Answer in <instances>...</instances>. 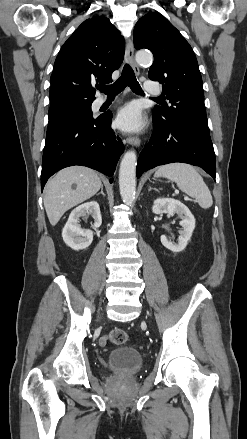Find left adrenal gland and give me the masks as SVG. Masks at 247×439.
Instances as JSON below:
<instances>
[{
	"instance_id": "obj_1",
	"label": "left adrenal gland",
	"mask_w": 247,
	"mask_h": 439,
	"mask_svg": "<svg viewBox=\"0 0 247 439\" xmlns=\"http://www.w3.org/2000/svg\"><path fill=\"white\" fill-rule=\"evenodd\" d=\"M151 190H155V191L159 192V190H158L157 188H152V187L150 186L149 189H148V191H151Z\"/></svg>"
}]
</instances>
